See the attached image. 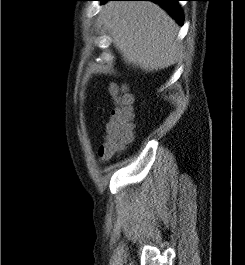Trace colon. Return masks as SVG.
<instances>
[{
  "instance_id": "colon-1",
  "label": "colon",
  "mask_w": 245,
  "mask_h": 265,
  "mask_svg": "<svg viewBox=\"0 0 245 265\" xmlns=\"http://www.w3.org/2000/svg\"><path fill=\"white\" fill-rule=\"evenodd\" d=\"M109 92L113 97L115 107L107 124V136L99 148L102 158H110L129 144L133 139V98L126 88L117 83H111Z\"/></svg>"
}]
</instances>
